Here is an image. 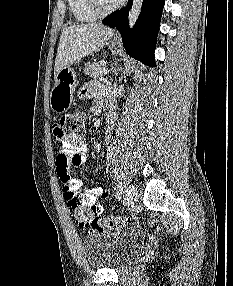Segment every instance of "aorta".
Instances as JSON below:
<instances>
[{
  "label": "aorta",
  "instance_id": "obj_1",
  "mask_svg": "<svg viewBox=\"0 0 233 286\" xmlns=\"http://www.w3.org/2000/svg\"><path fill=\"white\" fill-rule=\"evenodd\" d=\"M143 0H133L132 6L129 11L128 20L130 28H132L138 19Z\"/></svg>",
  "mask_w": 233,
  "mask_h": 286
}]
</instances>
